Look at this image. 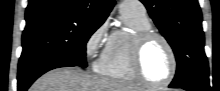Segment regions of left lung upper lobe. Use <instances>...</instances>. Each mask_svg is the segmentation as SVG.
Instances as JSON below:
<instances>
[{"label": "left lung upper lobe", "instance_id": "1", "mask_svg": "<svg viewBox=\"0 0 220 91\" xmlns=\"http://www.w3.org/2000/svg\"><path fill=\"white\" fill-rule=\"evenodd\" d=\"M161 34L171 45L176 61L174 88L188 84L209 85L204 52L202 14L197 0H141Z\"/></svg>", "mask_w": 220, "mask_h": 91}]
</instances>
